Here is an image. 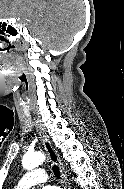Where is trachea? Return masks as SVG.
I'll use <instances>...</instances> for the list:
<instances>
[{"label": "trachea", "instance_id": "trachea-1", "mask_svg": "<svg viewBox=\"0 0 124 189\" xmlns=\"http://www.w3.org/2000/svg\"><path fill=\"white\" fill-rule=\"evenodd\" d=\"M52 170H53L55 176H56L57 178H60V170H59V167L56 166V165H54L53 168H52Z\"/></svg>", "mask_w": 124, "mask_h": 189}]
</instances>
